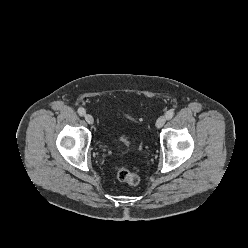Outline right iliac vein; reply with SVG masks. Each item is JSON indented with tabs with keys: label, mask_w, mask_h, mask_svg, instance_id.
<instances>
[{
	"label": "right iliac vein",
	"mask_w": 248,
	"mask_h": 248,
	"mask_svg": "<svg viewBox=\"0 0 248 248\" xmlns=\"http://www.w3.org/2000/svg\"><path fill=\"white\" fill-rule=\"evenodd\" d=\"M85 120L88 124H93L94 123V118L91 114H86L85 115Z\"/></svg>",
	"instance_id": "63e3f726"
}]
</instances>
